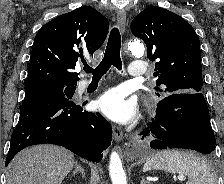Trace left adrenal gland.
Returning <instances> with one entry per match:
<instances>
[{
	"instance_id": "1",
	"label": "left adrenal gland",
	"mask_w": 224,
	"mask_h": 184,
	"mask_svg": "<svg viewBox=\"0 0 224 184\" xmlns=\"http://www.w3.org/2000/svg\"><path fill=\"white\" fill-rule=\"evenodd\" d=\"M146 183H148V182L144 179V177H142L140 184H146Z\"/></svg>"
}]
</instances>
